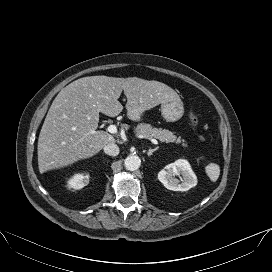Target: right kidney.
I'll return each instance as SVG.
<instances>
[{
	"label": "right kidney",
	"mask_w": 272,
	"mask_h": 272,
	"mask_svg": "<svg viewBox=\"0 0 272 272\" xmlns=\"http://www.w3.org/2000/svg\"><path fill=\"white\" fill-rule=\"evenodd\" d=\"M89 183V174L78 173L72 176L68 182L67 187L73 189H81Z\"/></svg>",
	"instance_id": "right-kidney-1"
}]
</instances>
